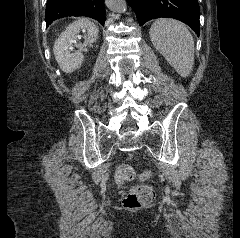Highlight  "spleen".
<instances>
[{
	"label": "spleen",
	"mask_w": 240,
	"mask_h": 238,
	"mask_svg": "<svg viewBox=\"0 0 240 238\" xmlns=\"http://www.w3.org/2000/svg\"><path fill=\"white\" fill-rule=\"evenodd\" d=\"M154 47L183 77H187L194 65V40L187 27L172 19H158L150 28Z\"/></svg>",
	"instance_id": "spleen-1"
}]
</instances>
